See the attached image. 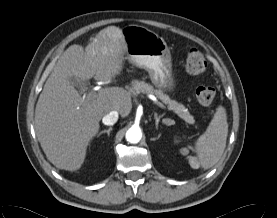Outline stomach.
Returning <instances> with one entry per match:
<instances>
[{
  "label": "stomach",
  "mask_w": 277,
  "mask_h": 218,
  "mask_svg": "<svg viewBox=\"0 0 277 218\" xmlns=\"http://www.w3.org/2000/svg\"><path fill=\"white\" fill-rule=\"evenodd\" d=\"M128 60L147 70L152 84L161 91H172L175 79L170 50L162 37L146 27L128 25L122 30Z\"/></svg>",
  "instance_id": "0dacf381"
}]
</instances>
